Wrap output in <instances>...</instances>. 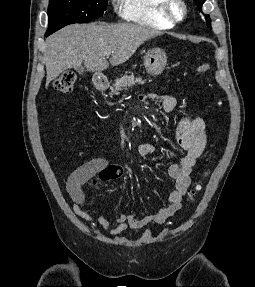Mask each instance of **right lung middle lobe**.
I'll list each match as a JSON object with an SVG mask.
<instances>
[{
    "label": "right lung middle lobe",
    "mask_w": 255,
    "mask_h": 287,
    "mask_svg": "<svg viewBox=\"0 0 255 287\" xmlns=\"http://www.w3.org/2000/svg\"><path fill=\"white\" fill-rule=\"evenodd\" d=\"M108 0H49V27L52 34L62 27L73 23H86L103 15Z\"/></svg>",
    "instance_id": "right-lung-middle-lobe-1"
}]
</instances>
